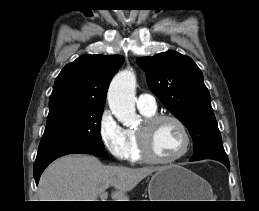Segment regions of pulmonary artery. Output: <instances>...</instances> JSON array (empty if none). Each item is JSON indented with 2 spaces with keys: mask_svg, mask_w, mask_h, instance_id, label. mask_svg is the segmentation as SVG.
I'll list each match as a JSON object with an SVG mask.
<instances>
[{
  "mask_svg": "<svg viewBox=\"0 0 259 211\" xmlns=\"http://www.w3.org/2000/svg\"><path fill=\"white\" fill-rule=\"evenodd\" d=\"M136 105L139 110L148 112H154L157 109L155 97L147 93H142L137 97Z\"/></svg>",
  "mask_w": 259,
  "mask_h": 211,
  "instance_id": "obj_1",
  "label": "pulmonary artery"
}]
</instances>
